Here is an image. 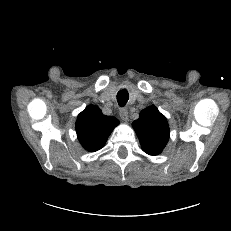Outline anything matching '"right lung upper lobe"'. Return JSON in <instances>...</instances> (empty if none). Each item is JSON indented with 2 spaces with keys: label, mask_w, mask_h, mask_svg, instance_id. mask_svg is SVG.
Masks as SVG:
<instances>
[{
  "label": "right lung upper lobe",
  "mask_w": 231,
  "mask_h": 231,
  "mask_svg": "<svg viewBox=\"0 0 231 231\" xmlns=\"http://www.w3.org/2000/svg\"><path fill=\"white\" fill-rule=\"evenodd\" d=\"M118 124L119 121L115 117L103 115L97 106L89 105L77 117L78 140L86 150L97 151L105 145Z\"/></svg>",
  "instance_id": "right-lung-upper-lobe-1"
}]
</instances>
